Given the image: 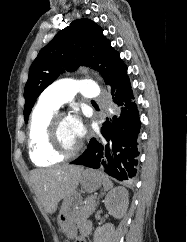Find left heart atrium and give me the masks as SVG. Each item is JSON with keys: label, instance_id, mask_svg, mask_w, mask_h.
<instances>
[{"label": "left heart atrium", "instance_id": "1", "mask_svg": "<svg viewBox=\"0 0 187 242\" xmlns=\"http://www.w3.org/2000/svg\"><path fill=\"white\" fill-rule=\"evenodd\" d=\"M69 120L74 134L80 140L85 133V128L81 119L78 116H72L69 118Z\"/></svg>", "mask_w": 187, "mask_h": 242}]
</instances>
